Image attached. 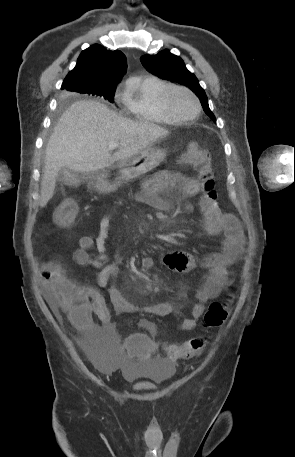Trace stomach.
Returning <instances> with one entry per match:
<instances>
[{"label":"stomach","instance_id":"1","mask_svg":"<svg viewBox=\"0 0 295 457\" xmlns=\"http://www.w3.org/2000/svg\"><path fill=\"white\" fill-rule=\"evenodd\" d=\"M162 147L140 150L130 158L95 172L94 186L101 193L115 191L122 183L133 180L157 167L166 157Z\"/></svg>","mask_w":295,"mask_h":457}]
</instances>
